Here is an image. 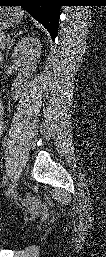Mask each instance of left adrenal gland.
I'll return each mask as SVG.
<instances>
[{
    "instance_id": "1",
    "label": "left adrenal gland",
    "mask_w": 106,
    "mask_h": 257,
    "mask_svg": "<svg viewBox=\"0 0 106 257\" xmlns=\"http://www.w3.org/2000/svg\"><path fill=\"white\" fill-rule=\"evenodd\" d=\"M22 33H23V31H19L18 33H16V34L14 35V38L17 37V35H20V34H22ZM13 41H14V39H12L11 44L8 46L7 54H8V52H9V49H10L11 46L13 45Z\"/></svg>"
}]
</instances>
